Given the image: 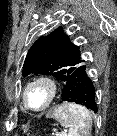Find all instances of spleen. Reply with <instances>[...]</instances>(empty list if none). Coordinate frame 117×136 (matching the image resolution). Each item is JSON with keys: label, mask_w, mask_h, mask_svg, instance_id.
<instances>
[{"label": "spleen", "mask_w": 117, "mask_h": 136, "mask_svg": "<svg viewBox=\"0 0 117 136\" xmlns=\"http://www.w3.org/2000/svg\"><path fill=\"white\" fill-rule=\"evenodd\" d=\"M50 117L68 128L67 136H87L92 126L88 109L74 103H63L53 110Z\"/></svg>", "instance_id": "3e777b00"}]
</instances>
